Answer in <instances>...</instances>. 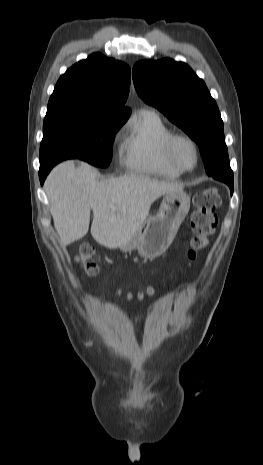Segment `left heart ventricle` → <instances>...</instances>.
<instances>
[{"mask_svg":"<svg viewBox=\"0 0 263 465\" xmlns=\"http://www.w3.org/2000/svg\"><path fill=\"white\" fill-rule=\"evenodd\" d=\"M175 155L178 161L185 167H192L195 161L194 151L191 145L185 141H178L175 145Z\"/></svg>","mask_w":263,"mask_h":465,"instance_id":"b2bd125f","label":"left heart ventricle"}]
</instances>
